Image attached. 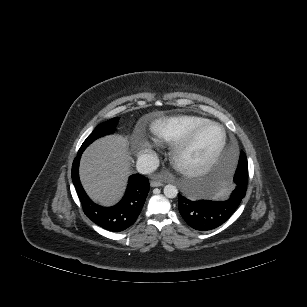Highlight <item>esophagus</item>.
I'll return each mask as SVG.
<instances>
[{
	"instance_id": "obj_1",
	"label": "esophagus",
	"mask_w": 307,
	"mask_h": 307,
	"mask_svg": "<svg viewBox=\"0 0 307 307\" xmlns=\"http://www.w3.org/2000/svg\"><path fill=\"white\" fill-rule=\"evenodd\" d=\"M150 185H151L152 187H160V186L163 185V183H162L161 181H159V180H152V181L150 182Z\"/></svg>"
}]
</instances>
